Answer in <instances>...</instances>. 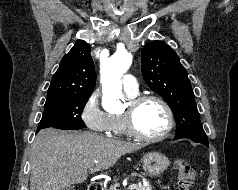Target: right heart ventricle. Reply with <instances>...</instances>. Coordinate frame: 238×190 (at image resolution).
Instances as JSON below:
<instances>
[{
  "instance_id": "right-heart-ventricle-1",
  "label": "right heart ventricle",
  "mask_w": 238,
  "mask_h": 190,
  "mask_svg": "<svg viewBox=\"0 0 238 190\" xmlns=\"http://www.w3.org/2000/svg\"><path fill=\"white\" fill-rule=\"evenodd\" d=\"M129 97H134L136 94H129ZM110 131L118 136L127 135V130L122 117V114H110Z\"/></svg>"
}]
</instances>
